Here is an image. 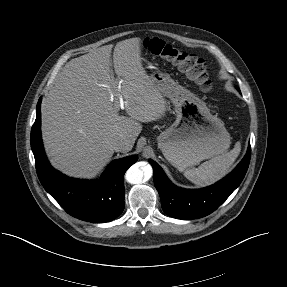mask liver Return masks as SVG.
<instances>
[{
	"instance_id": "liver-1",
	"label": "liver",
	"mask_w": 287,
	"mask_h": 287,
	"mask_svg": "<svg viewBox=\"0 0 287 287\" xmlns=\"http://www.w3.org/2000/svg\"><path fill=\"white\" fill-rule=\"evenodd\" d=\"M111 45L69 61L42 104V137L51 164L64 174L92 178L113 156L111 141L125 138L132 149L141 122L160 119L166 101L142 66L141 39ZM121 82V83H120ZM129 117L119 115L118 94Z\"/></svg>"
}]
</instances>
